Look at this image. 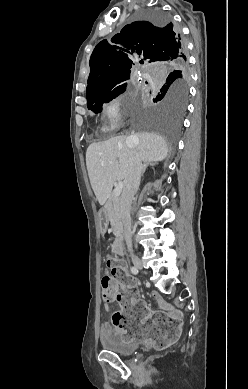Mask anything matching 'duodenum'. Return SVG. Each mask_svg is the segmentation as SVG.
Listing matches in <instances>:
<instances>
[{
    "label": "duodenum",
    "mask_w": 248,
    "mask_h": 389,
    "mask_svg": "<svg viewBox=\"0 0 248 389\" xmlns=\"http://www.w3.org/2000/svg\"><path fill=\"white\" fill-rule=\"evenodd\" d=\"M114 250H115L116 254L119 255V256H122L123 253H124L121 234H119V237H118V239L115 242Z\"/></svg>",
    "instance_id": "410a0bca"
}]
</instances>
